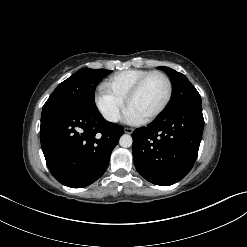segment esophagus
<instances>
[{"label": "esophagus", "mask_w": 247, "mask_h": 247, "mask_svg": "<svg viewBox=\"0 0 247 247\" xmlns=\"http://www.w3.org/2000/svg\"><path fill=\"white\" fill-rule=\"evenodd\" d=\"M124 132L127 133V134H132L133 133V129L130 128V127H125L124 128Z\"/></svg>", "instance_id": "34e87169"}]
</instances>
